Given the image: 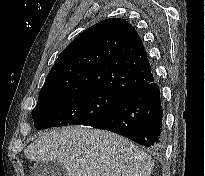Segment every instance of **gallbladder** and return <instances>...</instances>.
Returning a JSON list of instances; mask_svg holds the SVG:
<instances>
[{"mask_svg":"<svg viewBox=\"0 0 205 176\" xmlns=\"http://www.w3.org/2000/svg\"><path fill=\"white\" fill-rule=\"evenodd\" d=\"M33 176H67V171L59 162L40 161L32 167Z\"/></svg>","mask_w":205,"mask_h":176,"instance_id":"1","label":"gallbladder"}]
</instances>
